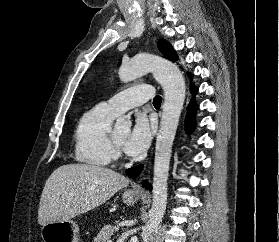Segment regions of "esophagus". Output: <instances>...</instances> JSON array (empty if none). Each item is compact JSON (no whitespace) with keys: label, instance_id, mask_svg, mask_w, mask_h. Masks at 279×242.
<instances>
[{"label":"esophagus","instance_id":"1","mask_svg":"<svg viewBox=\"0 0 279 242\" xmlns=\"http://www.w3.org/2000/svg\"><path fill=\"white\" fill-rule=\"evenodd\" d=\"M133 190L138 191V190H139V187L134 186V187H133Z\"/></svg>","mask_w":279,"mask_h":242}]
</instances>
